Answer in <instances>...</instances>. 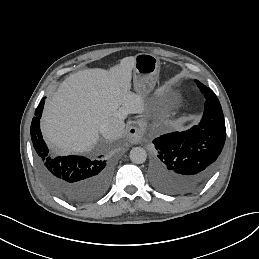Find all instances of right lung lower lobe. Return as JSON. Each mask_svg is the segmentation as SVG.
<instances>
[{
    "mask_svg": "<svg viewBox=\"0 0 259 259\" xmlns=\"http://www.w3.org/2000/svg\"><path fill=\"white\" fill-rule=\"evenodd\" d=\"M44 102L45 97L41 99L31 123V137L42 179L57 195L74 204L87 203L101 197L110 185V164L101 156L98 159L50 156L40 131Z\"/></svg>",
    "mask_w": 259,
    "mask_h": 259,
    "instance_id": "right-lung-lower-lobe-1",
    "label": "right lung lower lobe"
}]
</instances>
